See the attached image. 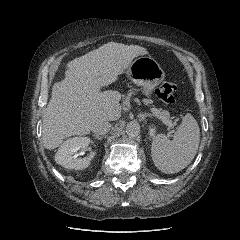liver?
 <instances>
[{"mask_svg":"<svg viewBox=\"0 0 240 240\" xmlns=\"http://www.w3.org/2000/svg\"><path fill=\"white\" fill-rule=\"evenodd\" d=\"M146 54L141 46L109 42L70 61L65 78L53 85L43 114L44 147L53 150L64 138L89 134L97 122L120 118L121 94L100 89L114 83L134 58Z\"/></svg>","mask_w":240,"mask_h":240,"instance_id":"obj_1","label":"liver"}]
</instances>
